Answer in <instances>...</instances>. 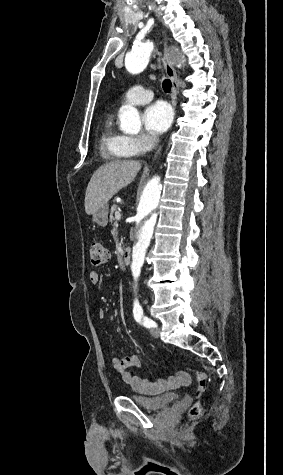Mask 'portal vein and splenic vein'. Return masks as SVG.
Segmentation results:
<instances>
[{
    "mask_svg": "<svg viewBox=\"0 0 283 475\" xmlns=\"http://www.w3.org/2000/svg\"><path fill=\"white\" fill-rule=\"evenodd\" d=\"M115 216H116V218H120L119 212H115Z\"/></svg>",
    "mask_w": 283,
    "mask_h": 475,
    "instance_id": "1",
    "label": "portal vein and splenic vein"
}]
</instances>
